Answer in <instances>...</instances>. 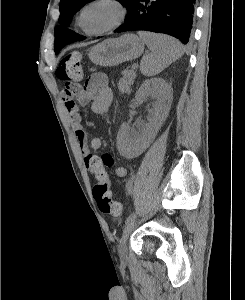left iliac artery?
Instances as JSON below:
<instances>
[{
    "mask_svg": "<svg viewBox=\"0 0 245 300\" xmlns=\"http://www.w3.org/2000/svg\"><path fill=\"white\" fill-rule=\"evenodd\" d=\"M132 180L129 181V185L127 186V194H128V198L131 200V201H134L135 200V197L133 196V193H132ZM135 213H131L127 219H126V223L130 222L131 220H133L135 218Z\"/></svg>",
    "mask_w": 245,
    "mask_h": 300,
    "instance_id": "44dca946",
    "label": "left iliac artery"
}]
</instances>
